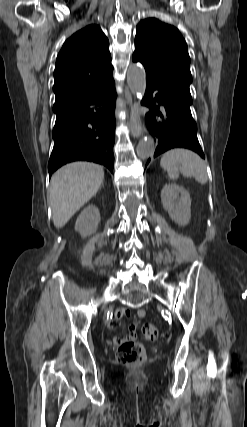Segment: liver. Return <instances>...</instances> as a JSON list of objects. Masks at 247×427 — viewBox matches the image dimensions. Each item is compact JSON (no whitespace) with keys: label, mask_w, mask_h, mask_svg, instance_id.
<instances>
[{"label":"liver","mask_w":247,"mask_h":427,"mask_svg":"<svg viewBox=\"0 0 247 427\" xmlns=\"http://www.w3.org/2000/svg\"><path fill=\"white\" fill-rule=\"evenodd\" d=\"M103 180V167L90 162H73L57 170L49 189L54 226H65L97 194Z\"/></svg>","instance_id":"6515ba94"}]
</instances>
